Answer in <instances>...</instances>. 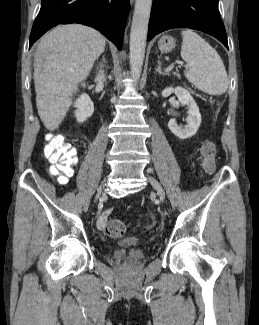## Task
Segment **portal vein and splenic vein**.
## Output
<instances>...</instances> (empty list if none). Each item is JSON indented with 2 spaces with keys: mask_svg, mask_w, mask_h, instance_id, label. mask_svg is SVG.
Instances as JSON below:
<instances>
[{
  "mask_svg": "<svg viewBox=\"0 0 259 325\" xmlns=\"http://www.w3.org/2000/svg\"><path fill=\"white\" fill-rule=\"evenodd\" d=\"M171 69V67H169L167 70H170Z\"/></svg>",
  "mask_w": 259,
  "mask_h": 325,
  "instance_id": "obj_1",
  "label": "portal vein and splenic vein"
}]
</instances>
